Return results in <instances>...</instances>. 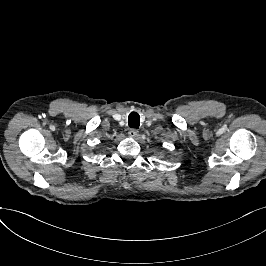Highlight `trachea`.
I'll list each match as a JSON object with an SVG mask.
<instances>
[{
    "mask_svg": "<svg viewBox=\"0 0 266 266\" xmlns=\"http://www.w3.org/2000/svg\"><path fill=\"white\" fill-rule=\"evenodd\" d=\"M128 124L132 128H138L140 124V117L136 112H132L128 117Z\"/></svg>",
    "mask_w": 266,
    "mask_h": 266,
    "instance_id": "obj_1",
    "label": "trachea"
}]
</instances>
